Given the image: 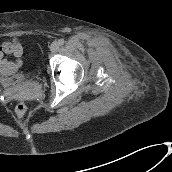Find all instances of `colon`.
Wrapping results in <instances>:
<instances>
[{"label": "colon", "mask_w": 172, "mask_h": 172, "mask_svg": "<svg viewBox=\"0 0 172 172\" xmlns=\"http://www.w3.org/2000/svg\"><path fill=\"white\" fill-rule=\"evenodd\" d=\"M16 111L21 115L25 114L27 111V105L23 101H19L16 105Z\"/></svg>", "instance_id": "1"}]
</instances>
